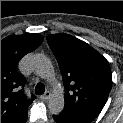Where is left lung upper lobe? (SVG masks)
I'll list each match as a JSON object with an SVG mask.
<instances>
[{
  "instance_id": "left-lung-upper-lobe-1",
  "label": "left lung upper lobe",
  "mask_w": 123,
  "mask_h": 123,
  "mask_svg": "<svg viewBox=\"0 0 123 123\" xmlns=\"http://www.w3.org/2000/svg\"><path fill=\"white\" fill-rule=\"evenodd\" d=\"M47 41L65 87L61 113L79 123H90L101 112L112 87L108 61L89 44L69 34H52Z\"/></svg>"
}]
</instances>
